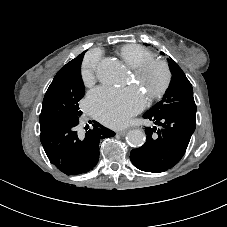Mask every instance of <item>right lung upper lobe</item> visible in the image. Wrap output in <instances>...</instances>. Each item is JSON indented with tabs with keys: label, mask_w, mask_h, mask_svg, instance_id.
Instances as JSON below:
<instances>
[{
	"label": "right lung upper lobe",
	"mask_w": 227,
	"mask_h": 227,
	"mask_svg": "<svg viewBox=\"0 0 227 227\" xmlns=\"http://www.w3.org/2000/svg\"><path fill=\"white\" fill-rule=\"evenodd\" d=\"M83 56H84V53H81L75 59L68 62L61 70L74 66L76 63H78L81 60V58L83 59Z\"/></svg>",
	"instance_id": "obj_1"
}]
</instances>
